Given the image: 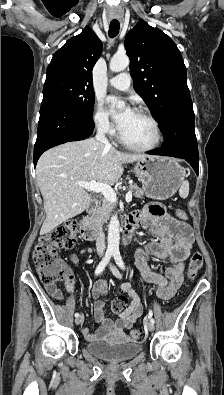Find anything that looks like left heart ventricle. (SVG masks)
Returning a JSON list of instances; mask_svg holds the SVG:
<instances>
[{"label":"left heart ventricle","mask_w":224,"mask_h":395,"mask_svg":"<svg viewBox=\"0 0 224 395\" xmlns=\"http://www.w3.org/2000/svg\"><path fill=\"white\" fill-rule=\"evenodd\" d=\"M120 132L126 141L134 145H150L155 139L151 122L136 112L131 115Z\"/></svg>","instance_id":"b2bd125f"}]
</instances>
